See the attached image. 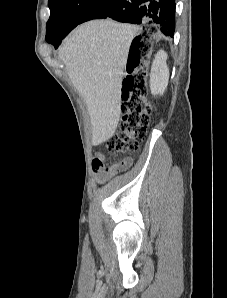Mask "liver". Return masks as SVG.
I'll return each mask as SVG.
<instances>
[{
    "label": "liver",
    "instance_id": "6515ba94",
    "mask_svg": "<svg viewBox=\"0 0 227 298\" xmlns=\"http://www.w3.org/2000/svg\"><path fill=\"white\" fill-rule=\"evenodd\" d=\"M138 31L110 19L92 20L77 27L59 48V59L86 103L94 146L110 139L117 128L123 70Z\"/></svg>",
    "mask_w": 227,
    "mask_h": 298
}]
</instances>
